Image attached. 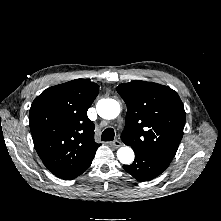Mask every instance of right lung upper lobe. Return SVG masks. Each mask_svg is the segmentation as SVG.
I'll use <instances>...</instances> for the list:
<instances>
[{
    "mask_svg": "<svg viewBox=\"0 0 221 221\" xmlns=\"http://www.w3.org/2000/svg\"><path fill=\"white\" fill-rule=\"evenodd\" d=\"M99 86L86 79L50 87L32 103L30 130L35 149L47 169L62 179H74L92 163L100 144L87 110Z\"/></svg>",
    "mask_w": 221,
    "mask_h": 221,
    "instance_id": "1",
    "label": "right lung upper lobe"
}]
</instances>
